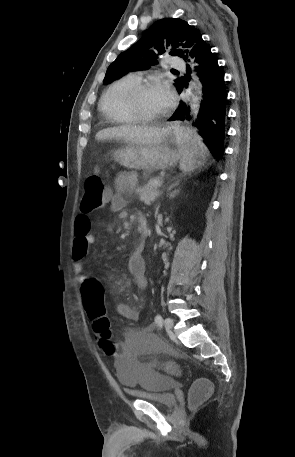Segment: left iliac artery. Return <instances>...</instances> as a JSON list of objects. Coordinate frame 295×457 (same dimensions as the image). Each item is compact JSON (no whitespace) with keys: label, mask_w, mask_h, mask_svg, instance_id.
Segmentation results:
<instances>
[{"label":"left iliac artery","mask_w":295,"mask_h":457,"mask_svg":"<svg viewBox=\"0 0 295 457\" xmlns=\"http://www.w3.org/2000/svg\"><path fill=\"white\" fill-rule=\"evenodd\" d=\"M155 323L157 324V326L162 327V325H163V318H162L161 315H159V314L156 315V317H155Z\"/></svg>","instance_id":"1"}]
</instances>
